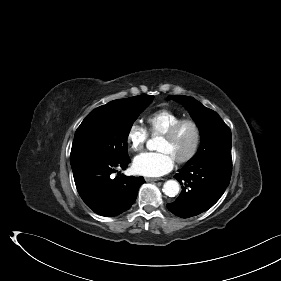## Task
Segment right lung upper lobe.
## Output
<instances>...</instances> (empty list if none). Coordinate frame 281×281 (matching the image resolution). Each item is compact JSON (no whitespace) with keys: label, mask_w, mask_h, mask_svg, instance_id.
I'll return each mask as SVG.
<instances>
[{"label":"right lung upper lobe","mask_w":281,"mask_h":281,"mask_svg":"<svg viewBox=\"0 0 281 281\" xmlns=\"http://www.w3.org/2000/svg\"><path fill=\"white\" fill-rule=\"evenodd\" d=\"M117 102H119V100H114V101H111V102H109L108 104H115V103H117Z\"/></svg>","instance_id":"right-lung-upper-lobe-1"}]
</instances>
